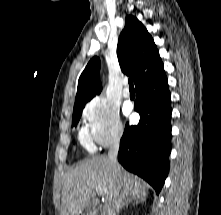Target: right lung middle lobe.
I'll list each match as a JSON object with an SVG mask.
<instances>
[{
  "label": "right lung middle lobe",
  "instance_id": "dd1d6c3e",
  "mask_svg": "<svg viewBox=\"0 0 221 215\" xmlns=\"http://www.w3.org/2000/svg\"><path fill=\"white\" fill-rule=\"evenodd\" d=\"M85 106V104H79V105H74V111H73V116H72V123L74 126L77 125L81 114H82V109Z\"/></svg>",
  "mask_w": 221,
  "mask_h": 215
}]
</instances>
